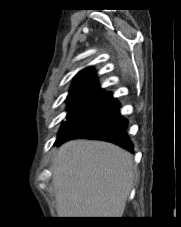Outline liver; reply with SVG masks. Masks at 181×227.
<instances>
[{"label": "liver", "mask_w": 181, "mask_h": 227, "mask_svg": "<svg viewBox=\"0 0 181 227\" xmlns=\"http://www.w3.org/2000/svg\"><path fill=\"white\" fill-rule=\"evenodd\" d=\"M134 179L133 157L107 142L72 140L53 159L59 217H122Z\"/></svg>", "instance_id": "6515ba94"}]
</instances>
